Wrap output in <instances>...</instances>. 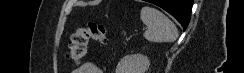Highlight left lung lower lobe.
I'll list each match as a JSON object with an SVG mask.
<instances>
[{
  "mask_svg": "<svg viewBox=\"0 0 244 73\" xmlns=\"http://www.w3.org/2000/svg\"><path fill=\"white\" fill-rule=\"evenodd\" d=\"M148 2L161 7L174 16L184 29L187 28L193 0H149Z\"/></svg>",
  "mask_w": 244,
  "mask_h": 73,
  "instance_id": "0a47b994",
  "label": "left lung lower lobe"
}]
</instances>
